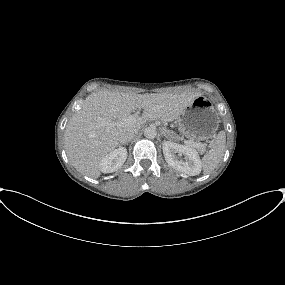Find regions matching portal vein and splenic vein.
Returning <instances> with one entry per match:
<instances>
[{"mask_svg":"<svg viewBox=\"0 0 285 285\" xmlns=\"http://www.w3.org/2000/svg\"><path fill=\"white\" fill-rule=\"evenodd\" d=\"M136 121V117L134 115H131L129 117H125V118H122L120 120H117V121H102L101 122V125L102 126H106V127H113V126H122V125H125V124H128V123H133ZM186 143L194 146V147H198L199 144L196 143V142H193L191 140H188L186 141Z\"/></svg>","mask_w":285,"mask_h":285,"instance_id":"18ae733b","label":"portal vein and splenic vein"}]
</instances>
